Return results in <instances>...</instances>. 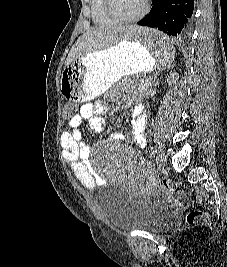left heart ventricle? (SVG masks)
<instances>
[{
  "label": "left heart ventricle",
  "instance_id": "1",
  "mask_svg": "<svg viewBox=\"0 0 227 267\" xmlns=\"http://www.w3.org/2000/svg\"><path fill=\"white\" fill-rule=\"evenodd\" d=\"M115 7L122 16L136 15L143 7L144 0H115Z\"/></svg>",
  "mask_w": 227,
  "mask_h": 267
}]
</instances>
